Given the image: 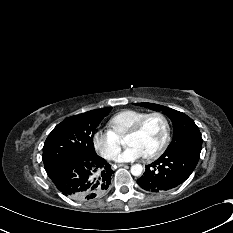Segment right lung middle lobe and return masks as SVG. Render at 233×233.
Masks as SVG:
<instances>
[{"instance_id": "right-lung-middle-lobe-1", "label": "right lung middle lobe", "mask_w": 233, "mask_h": 233, "mask_svg": "<svg viewBox=\"0 0 233 233\" xmlns=\"http://www.w3.org/2000/svg\"><path fill=\"white\" fill-rule=\"evenodd\" d=\"M112 107L91 110L63 120L47 137L43 146V163L48 174L75 158L93 159L98 155L93 135L102 119Z\"/></svg>"}]
</instances>
